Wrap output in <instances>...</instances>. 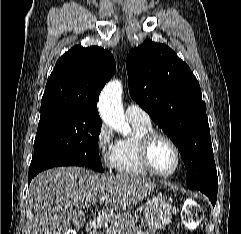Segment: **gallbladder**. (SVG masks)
Wrapping results in <instances>:
<instances>
[{
    "label": "gallbladder",
    "mask_w": 241,
    "mask_h": 234,
    "mask_svg": "<svg viewBox=\"0 0 241 234\" xmlns=\"http://www.w3.org/2000/svg\"><path fill=\"white\" fill-rule=\"evenodd\" d=\"M85 221V216L82 212H79L77 215V218L75 220V223L78 227H82V225L84 224Z\"/></svg>",
    "instance_id": "bac80fb5"
}]
</instances>
